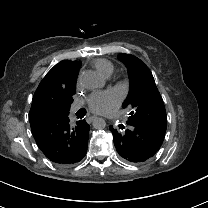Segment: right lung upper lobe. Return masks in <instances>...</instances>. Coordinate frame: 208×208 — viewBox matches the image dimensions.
<instances>
[{"mask_svg":"<svg viewBox=\"0 0 208 208\" xmlns=\"http://www.w3.org/2000/svg\"><path fill=\"white\" fill-rule=\"evenodd\" d=\"M81 62L63 60L56 64L40 82L32 100L30 113L46 112L64 94L76 92V81ZM50 113V112H46Z\"/></svg>","mask_w":208,"mask_h":208,"instance_id":"right-lung-upper-lobe-1","label":"right lung upper lobe"}]
</instances>
